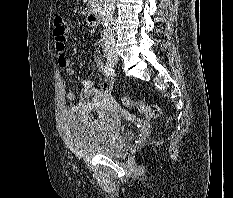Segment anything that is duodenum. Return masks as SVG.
<instances>
[{"label":"duodenum","instance_id":"duodenum-1","mask_svg":"<svg viewBox=\"0 0 233 198\" xmlns=\"http://www.w3.org/2000/svg\"><path fill=\"white\" fill-rule=\"evenodd\" d=\"M100 10L94 9L87 14V23L91 26L97 25L100 21Z\"/></svg>","mask_w":233,"mask_h":198}]
</instances>
